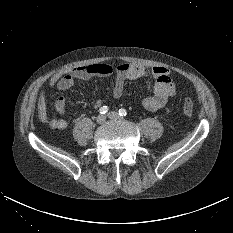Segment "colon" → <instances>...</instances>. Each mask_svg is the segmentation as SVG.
<instances>
[{
	"mask_svg": "<svg viewBox=\"0 0 233 233\" xmlns=\"http://www.w3.org/2000/svg\"><path fill=\"white\" fill-rule=\"evenodd\" d=\"M183 112L186 116L191 117L194 113V106L189 98H184L183 100Z\"/></svg>",
	"mask_w": 233,
	"mask_h": 233,
	"instance_id": "obj_1",
	"label": "colon"
}]
</instances>
